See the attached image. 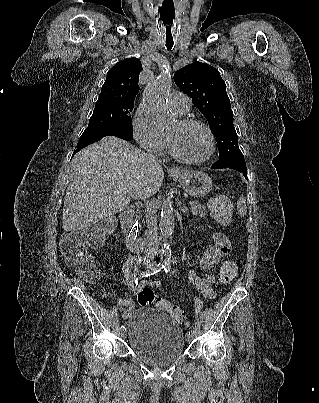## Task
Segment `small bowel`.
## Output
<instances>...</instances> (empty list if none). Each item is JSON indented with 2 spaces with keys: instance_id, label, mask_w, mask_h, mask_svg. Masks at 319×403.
Segmentation results:
<instances>
[{
  "instance_id": "1",
  "label": "small bowel",
  "mask_w": 319,
  "mask_h": 403,
  "mask_svg": "<svg viewBox=\"0 0 319 403\" xmlns=\"http://www.w3.org/2000/svg\"><path fill=\"white\" fill-rule=\"evenodd\" d=\"M212 238L214 243L207 247L199 261L201 270L206 272L205 277L200 279L193 270L189 271L190 281L194 284L195 288L200 291L205 298L210 300L216 297V292L213 288L215 276L210 273V270H212L224 257L231 252L230 241L225 235L221 233H213ZM136 262V258H132L124 264L125 285L128 288L131 287L132 283L131 268ZM145 286L159 287L161 286V283L159 281H145L141 283L139 288H137L135 291L138 292ZM132 305L133 301L129 296L122 298L118 302L117 306L122 312L123 318H127L129 316Z\"/></svg>"
}]
</instances>
